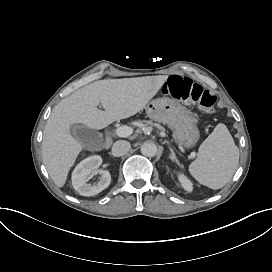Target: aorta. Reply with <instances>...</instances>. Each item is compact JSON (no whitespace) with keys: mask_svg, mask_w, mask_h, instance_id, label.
<instances>
[{"mask_svg":"<svg viewBox=\"0 0 272 272\" xmlns=\"http://www.w3.org/2000/svg\"><path fill=\"white\" fill-rule=\"evenodd\" d=\"M157 146L154 143H144L141 146V153L147 157H153L157 154Z\"/></svg>","mask_w":272,"mask_h":272,"instance_id":"aorta-1","label":"aorta"}]
</instances>
